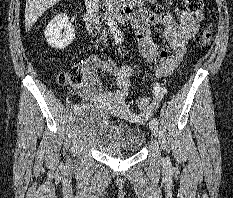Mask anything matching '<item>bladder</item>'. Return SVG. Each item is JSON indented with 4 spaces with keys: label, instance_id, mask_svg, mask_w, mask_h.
<instances>
[{
    "label": "bladder",
    "instance_id": "1",
    "mask_svg": "<svg viewBox=\"0 0 233 198\" xmlns=\"http://www.w3.org/2000/svg\"><path fill=\"white\" fill-rule=\"evenodd\" d=\"M78 136L99 152L123 157L139 151L144 143L140 127L125 124L111 125L105 110L98 106H83L76 119Z\"/></svg>",
    "mask_w": 233,
    "mask_h": 198
}]
</instances>
